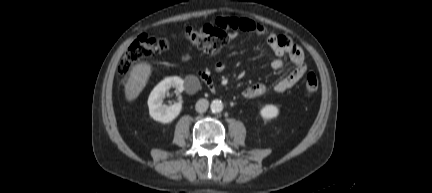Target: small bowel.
<instances>
[{
	"label": "small bowel",
	"instance_id": "small-bowel-1",
	"mask_svg": "<svg viewBox=\"0 0 432 193\" xmlns=\"http://www.w3.org/2000/svg\"><path fill=\"white\" fill-rule=\"evenodd\" d=\"M217 22L223 24L229 30H240L247 33H253L262 36L266 39L267 45L273 52V57L270 61V66L274 70H280L287 66L283 58L288 57L289 62L293 65L292 70L275 85L276 92H285L293 88L307 71V65L303 50L299 45L294 43L286 36L278 35L271 30H268L264 25L257 23L247 18L228 17L219 18ZM191 59L189 53H183L182 60L188 61ZM226 69V64L218 61L213 65V71L220 73ZM186 89L189 93L197 91L198 86L193 78L186 81ZM267 92V87L262 83H254L246 87L242 95L245 98L252 99L264 95Z\"/></svg>",
	"mask_w": 432,
	"mask_h": 193
}]
</instances>
